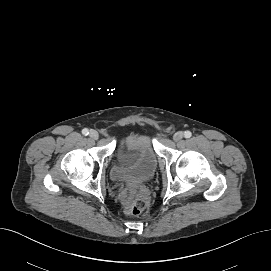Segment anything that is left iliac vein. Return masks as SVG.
Wrapping results in <instances>:
<instances>
[{"label":"left iliac vein","mask_w":271,"mask_h":271,"mask_svg":"<svg viewBox=\"0 0 271 271\" xmlns=\"http://www.w3.org/2000/svg\"><path fill=\"white\" fill-rule=\"evenodd\" d=\"M183 136H184L183 133L181 131H178L173 135V140L175 142H179L182 140Z\"/></svg>","instance_id":"left-iliac-vein-1"}]
</instances>
